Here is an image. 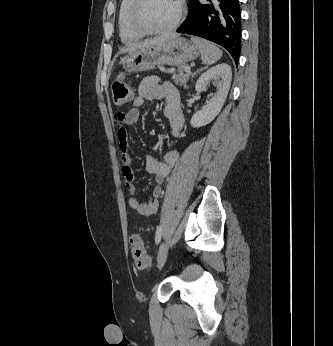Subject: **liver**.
<instances>
[{
  "label": "liver",
  "mask_w": 333,
  "mask_h": 346,
  "mask_svg": "<svg viewBox=\"0 0 333 346\" xmlns=\"http://www.w3.org/2000/svg\"><path fill=\"white\" fill-rule=\"evenodd\" d=\"M177 37H179L178 34H173L172 33V34L163 35V36H160V37H155L153 39H147V40L139 42V43H134V44L128 45L127 47L121 49L119 53L130 52V51H133L135 49L143 48V47H146V46L161 44V43H164L167 40H170V39H173V38H177Z\"/></svg>",
  "instance_id": "6515ba94"
}]
</instances>
